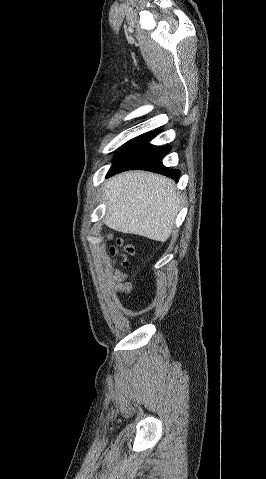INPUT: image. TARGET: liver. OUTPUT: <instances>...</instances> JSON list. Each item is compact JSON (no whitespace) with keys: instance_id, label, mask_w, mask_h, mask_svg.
<instances>
[{"instance_id":"6515ba94","label":"liver","mask_w":266,"mask_h":479,"mask_svg":"<svg viewBox=\"0 0 266 479\" xmlns=\"http://www.w3.org/2000/svg\"><path fill=\"white\" fill-rule=\"evenodd\" d=\"M104 223L125 234L166 241L173 232L180 199L173 180L146 171H128L106 181Z\"/></svg>"}]
</instances>
